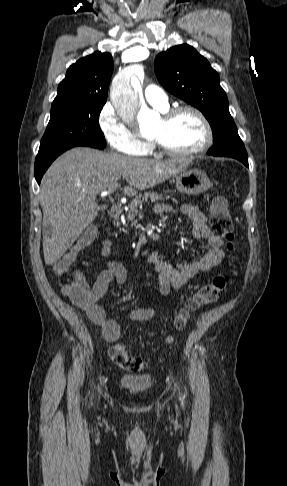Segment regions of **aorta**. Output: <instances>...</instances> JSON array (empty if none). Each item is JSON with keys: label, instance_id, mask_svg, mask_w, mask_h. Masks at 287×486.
<instances>
[{"label": "aorta", "instance_id": "1", "mask_svg": "<svg viewBox=\"0 0 287 486\" xmlns=\"http://www.w3.org/2000/svg\"><path fill=\"white\" fill-rule=\"evenodd\" d=\"M110 98L124 121L137 120L142 129L152 127L154 114L141 99V83L136 76L126 72L117 75L112 82Z\"/></svg>", "mask_w": 287, "mask_h": 486}]
</instances>
